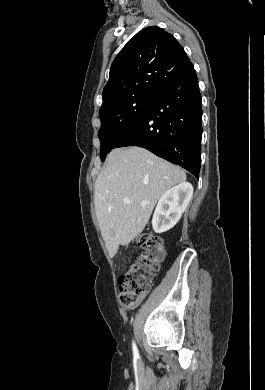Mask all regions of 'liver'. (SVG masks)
Segmentation results:
<instances>
[{
	"label": "liver",
	"mask_w": 265,
	"mask_h": 390,
	"mask_svg": "<svg viewBox=\"0 0 265 390\" xmlns=\"http://www.w3.org/2000/svg\"><path fill=\"white\" fill-rule=\"evenodd\" d=\"M185 180L184 170L144 148H117L109 153L107 166L95 182L94 204L112 257L119 245H128L144 230L159 198ZM124 198L130 203L125 204Z\"/></svg>",
	"instance_id": "liver-1"
}]
</instances>
